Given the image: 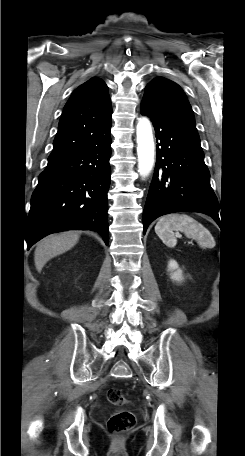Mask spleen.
Wrapping results in <instances>:
<instances>
[{
    "instance_id": "spleen-1",
    "label": "spleen",
    "mask_w": 245,
    "mask_h": 456,
    "mask_svg": "<svg viewBox=\"0 0 245 456\" xmlns=\"http://www.w3.org/2000/svg\"><path fill=\"white\" fill-rule=\"evenodd\" d=\"M173 231L183 232L188 238L195 239L203 247L214 246L211 233L202 224L186 214L163 216L155 226V233L168 247H174L177 244Z\"/></svg>"
}]
</instances>
